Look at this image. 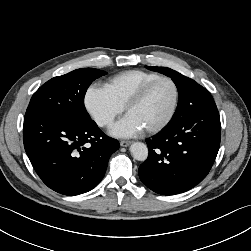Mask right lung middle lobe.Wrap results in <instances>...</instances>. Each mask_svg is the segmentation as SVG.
<instances>
[{"label":"right lung middle lobe","instance_id":"obj_1","mask_svg":"<svg viewBox=\"0 0 251 251\" xmlns=\"http://www.w3.org/2000/svg\"><path fill=\"white\" fill-rule=\"evenodd\" d=\"M106 74L94 68H81L54 77L33 94L27 109L44 110L77 124L91 123L84 96L90 84Z\"/></svg>","mask_w":251,"mask_h":251}]
</instances>
